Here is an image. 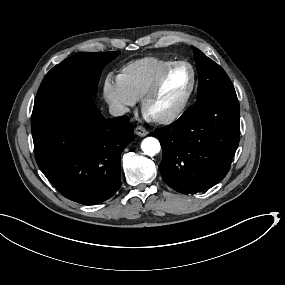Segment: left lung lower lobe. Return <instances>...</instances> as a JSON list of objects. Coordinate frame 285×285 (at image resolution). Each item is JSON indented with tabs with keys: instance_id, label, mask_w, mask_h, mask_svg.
<instances>
[{
	"instance_id": "0a47b994",
	"label": "left lung lower lobe",
	"mask_w": 285,
	"mask_h": 285,
	"mask_svg": "<svg viewBox=\"0 0 285 285\" xmlns=\"http://www.w3.org/2000/svg\"><path fill=\"white\" fill-rule=\"evenodd\" d=\"M163 150V181L193 194L212 187L229 171L239 144L240 108L235 94L198 100L174 123L157 129Z\"/></svg>"
}]
</instances>
